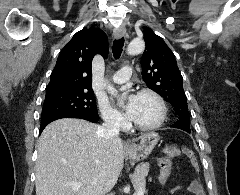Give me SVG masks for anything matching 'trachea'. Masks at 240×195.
Segmentation results:
<instances>
[{
  "mask_svg": "<svg viewBox=\"0 0 240 195\" xmlns=\"http://www.w3.org/2000/svg\"><path fill=\"white\" fill-rule=\"evenodd\" d=\"M123 46H124V37L114 40L112 52L115 59H119V57L121 56Z\"/></svg>",
  "mask_w": 240,
  "mask_h": 195,
  "instance_id": "1",
  "label": "trachea"
}]
</instances>
